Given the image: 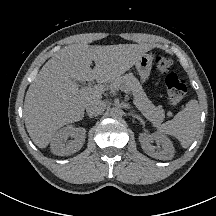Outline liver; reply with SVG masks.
Wrapping results in <instances>:
<instances>
[{
    "mask_svg": "<svg viewBox=\"0 0 216 216\" xmlns=\"http://www.w3.org/2000/svg\"><path fill=\"white\" fill-rule=\"evenodd\" d=\"M150 49L144 44L79 43L58 51L41 68L25 96L24 120L32 141L46 148L60 127L82 120L87 103L102 98L103 84L124 74ZM73 80H96L98 85L89 93L81 92Z\"/></svg>",
    "mask_w": 216,
    "mask_h": 216,
    "instance_id": "6515ba94",
    "label": "liver"
}]
</instances>
